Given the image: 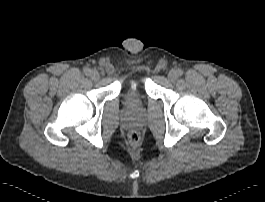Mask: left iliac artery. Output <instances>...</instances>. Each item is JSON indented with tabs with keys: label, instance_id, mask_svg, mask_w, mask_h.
Masks as SVG:
<instances>
[{
	"label": "left iliac artery",
	"instance_id": "1",
	"mask_svg": "<svg viewBox=\"0 0 265 202\" xmlns=\"http://www.w3.org/2000/svg\"><path fill=\"white\" fill-rule=\"evenodd\" d=\"M177 75L182 76L183 75V70L182 69H177Z\"/></svg>",
	"mask_w": 265,
	"mask_h": 202
}]
</instances>
